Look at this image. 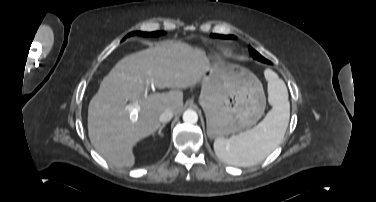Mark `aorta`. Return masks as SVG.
<instances>
[{"label":"aorta","instance_id":"762f6f07","mask_svg":"<svg viewBox=\"0 0 376 202\" xmlns=\"http://www.w3.org/2000/svg\"><path fill=\"white\" fill-rule=\"evenodd\" d=\"M183 121L186 124H195V123H197V121H198V114H197V112L194 111V110H192V109H187L183 113Z\"/></svg>","mask_w":376,"mask_h":202}]
</instances>
